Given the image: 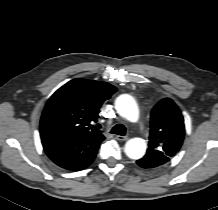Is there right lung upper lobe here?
Returning a JSON list of instances; mask_svg holds the SVG:
<instances>
[{
	"label": "right lung upper lobe",
	"mask_w": 218,
	"mask_h": 210,
	"mask_svg": "<svg viewBox=\"0 0 218 210\" xmlns=\"http://www.w3.org/2000/svg\"><path fill=\"white\" fill-rule=\"evenodd\" d=\"M115 92L116 88L107 82L77 78L63 85L49 98L42 116L55 118L54 132L79 138L102 137L101 131L93 124L99 117L102 103Z\"/></svg>",
	"instance_id": "obj_1"
}]
</instances>
